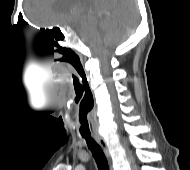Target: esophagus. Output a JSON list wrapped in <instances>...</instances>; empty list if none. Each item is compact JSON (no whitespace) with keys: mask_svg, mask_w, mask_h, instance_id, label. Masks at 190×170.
Returning <instances> with one entry per match:
<instances>
[{"mask_svg":"<svg viewBox=\"0 0 190 170\" xmlns=\"http://www.w3.org/2000/svg\"><path fill=\"white\" fill-rule=\"evenodd\" d=\"M95 139H96L97 143L100 145V147L102 148L104 154L107 156L108 159H110L109 149H108L107 143L104 140V138L100 135H96Z\"/></svg>","mask_w":190,"mask_h":170,"instance_id":"1","label":"esophagus"}]
</instances>
